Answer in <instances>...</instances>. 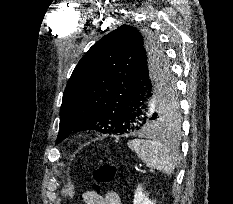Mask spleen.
Wrapping results in <instances>:
<instances>
[{"label": "spleen", "instance_id": "3e777b00", "mask_svg": "<svg viewBox=\"0 0 233 204\" xmlns=\"http://www.w3.org/2000/svg\"><path fill=\"white\" fill-rule=\"evenodd\" d=\"M128 147L134 150L137 156L150 168L161 171L171 176L177 164L174 147L155 139H133L128 142Z\"/></svg>", "mask_w": 233, "mask_h": 204}]
</instances>
